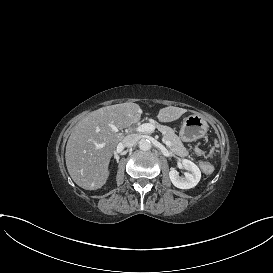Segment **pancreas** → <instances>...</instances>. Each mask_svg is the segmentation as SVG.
<instances>
[{"instance_id": "pancreas-1", "label": "pancreas", "mask_w": 273, "mask_h": 273, "mask_svg": "<svg viewBox=\"0 0 273 273\" xmlns=\"http://www.w3.org/2000/svg\"><path fill=\"white\" fill-rule=\"evenodd\" d=\"M155 127L164 134V138L172 141V144L168 145L170 151L180 157H187L189 155L188 150L184 147L180 138L175 135L174 131L171 128L161 126L160 124H156Z\"/></svg>"}]
</instances>
